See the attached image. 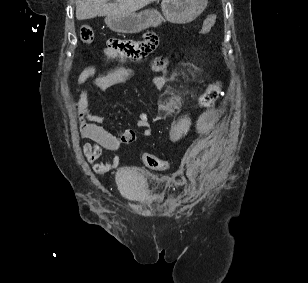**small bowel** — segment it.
I'll return each mask as SVG.
<instances>
[{
	"mask_svg": "<svg viewBox=\"0 0 308 283\" xmlns=\"http://www.w3.org/2000/svg\"><path fill=\"white\" fill-rule=\"evenodd\" d=\"M158 37L152 32L145 33L141 41H126L110 39L103 49V54L109 58L119 59L124 62H136L149 55L157 46ZM133 69L129 66H121L106 73H98L94 67L85 68L77 79L78 86L91 83L99 90H106L118 83L124 82L133 76ZM157 85H162V78H153ZM180 96H173L159 105V114L154 121L163 119L167 114L175 111L181 105ZM77 117L80 135L88 141L82 145V152L93 170L98 174H105L114 169L118 158L99 162L103 150L116 151L122 144H129L135 140V132L132 129H123L114 134L102 125V118L95 113L89 103V94L86 89L79 90L76 101ZM152 123L149 114L141 112L138 116L137 126L142 128V135L149 137L152 134Z\"/></svg>",
	"mask_w": 308,
	"mask_h": 283,
	"instance_id": "obj_1",
	"label": "small bowel"
}]
</instances>
